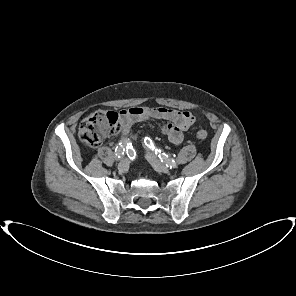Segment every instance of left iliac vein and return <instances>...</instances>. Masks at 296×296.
<instances>
[{"instance_id":"4c4485c4","label":"left iliac vein","mask_w":296,"mask_h":296,"mask_svg":"<svg viewBox=\"0 0 296 296\" xmlns=\"http://www.w3.org/2000/svg\"><path fill=\"white\" fill-rule=\"evenodd\" d=\"M146 158L156 171L169 173V168L161 163L153 154L147 153Z\"/></svg>"}]
</instances>
